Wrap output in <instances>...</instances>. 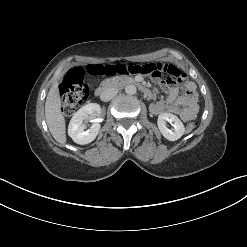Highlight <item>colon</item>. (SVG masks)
<instances>
[{
  "label": "colon",
  "mask_w": 247,
  "mask_h": 247,
  "mask_svg": "<svg viewBox=\"0 0 247 247\" xmlns=\"http://www.w3.org/2000/svg\"><path fill=\"white\" fill-rule=\"evenodd\" d=\"M135 66L134 63L117 65H88L87 67L71 68L60 86L61 109L65 115H71L76 108L87 98L89 84L88 76L106 75L114 76L123 74ZM198 123L195 121L186 124V131L192 132Z\"/></svg>",
  "instance_id": "obj_1"
}]
</instances>
